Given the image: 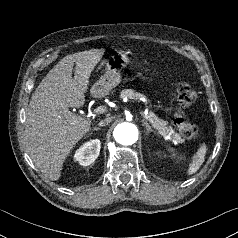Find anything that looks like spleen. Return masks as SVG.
<instances>
[{
	"instance_id": "1",
	"label": "spleen",
	"mask_w": 238,
	"mask_h": 238,
	"mask_svg": "<svg viewBox=\"0 0 238 238\" xmlns=\"http://www.w3.org/2000/svg\"><path fill=\"white\" fill-rule=\"evenodd\" d=\"M206 152H207V147L205 144H202L199 147L196 154L192 158V163L190 164L189 169H188L189 175L194 174L195 172L198 171V169L204 162Z\"/></svg>"
}]
</instances>
